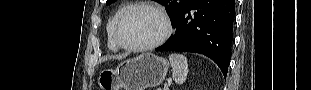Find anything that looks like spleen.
I'll use <instances>...</instances> for the list:
<instances>
[{"mask_svg":"<svg viewBox=\"0 0 311 90\" xmlns=\"http://www.w3.org/2000/svg\"><path fill=\"white\" fill-rule=\"evenodd\" d=\"M169 61L173 70V79L177 84H183L188 75V60L184 55L171 54Z\"/></svg>","mask_w":311,"mask_h":90,"instance_id":"obj_1","label":"spleen"}]
</instances>
